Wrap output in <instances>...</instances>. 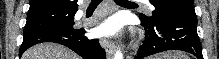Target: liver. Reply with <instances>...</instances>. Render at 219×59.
Listing matches in <instances>:
<instances>
[{
    "mask_svg": "<svg viewBox=\"0 0 219 59\" xmlns=\"http://www.w3.org/2000/svg\"><path fill=\"white\" fill-rule=\"evenodd\" d=\"M21 59H80V57L64 46L41 43L26 50Z\"/></svg>",
    "mask_w": 219,
    "mask_h": 59,
    "instance_id": "6515ba94",
    "label": "liver"
}]
</instances>
